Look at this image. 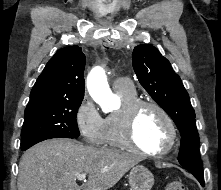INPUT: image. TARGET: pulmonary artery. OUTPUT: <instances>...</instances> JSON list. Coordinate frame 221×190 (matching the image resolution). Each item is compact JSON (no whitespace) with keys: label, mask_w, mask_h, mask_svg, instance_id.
<instances>
[{"label":"pulmonary artery","mask_w":221,"mask_h":190,"mask_svg":"<svg viewBox=\"0 0 221 190\" xmlns=\"http://www.w3.org/2000/svg\"><path fill=\"white\" fill-rule=\"evenodd\" d=\"M112 85L115 90H129L133 88L131 80L126 77L115 78Z\"/></svg>","instance_id":"1"}]
</instances>
